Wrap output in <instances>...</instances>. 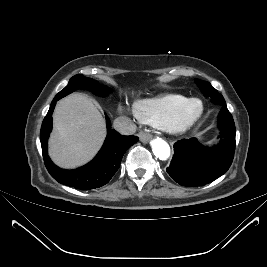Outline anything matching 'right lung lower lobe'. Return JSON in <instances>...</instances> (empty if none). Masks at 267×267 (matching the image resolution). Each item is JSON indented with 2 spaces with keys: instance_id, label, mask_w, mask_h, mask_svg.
Instances as JSON below:
<instances>
[{
  "instance_id": "1",
  "label": "right lung lower lobe",
  "mask_w": 267,
  "mask_h": 267,
  "mask_svg": "<svg viewBox=\"0 0 267 267\" xmlns=\"http://www.w3.org/2000/svg\"><path fill=\"white\" fill-rule=\"evenodd\" d=\"M59 98H54L45 116L40 132L43 158L51 176L59 183L81 190H90L107 184L118 170L126 150L138 141L136 136H122L111 129L107 121V137L97 154L88 164L76 170H64L53 164L47 154V140L52 129V113Z\"/></svg>"
}]
</instances>
